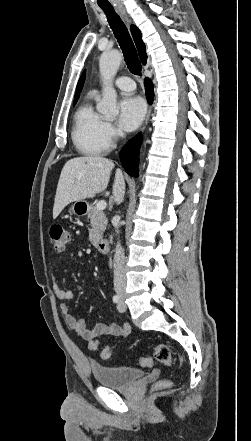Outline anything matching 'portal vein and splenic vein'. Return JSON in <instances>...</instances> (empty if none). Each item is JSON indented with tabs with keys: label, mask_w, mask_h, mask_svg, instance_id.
<instances>
[{
	"label": "portal vein and splenic vein",
	"mask_w": 251,
	"mask_h": 441,
	"mask_svg": "<svg viewBox=\"0 0 251 441\" xmlns=\"http://www.w3.org/2000/svg\"><path fill=\"white\" fill-rule=\"evenodd\" d=\"M106 206H107V203L104 200H101L96 204V208L98 210H104L106 208Z\"/></svg>",
	"instance_id": "portal-vein-and-splenic-vein-1"
}]
</instances>
